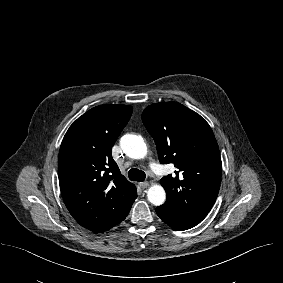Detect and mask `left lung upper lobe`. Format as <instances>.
<instances>
[{
    "mask_svg": "<svg viewBox=\"0 0 283 283\" xmlns=\"http://www.w3.org/2000/svg\"><path fill=\"white\" fill-rule=\"evenodd\" d=\"M142 121L155 141L160 162L173 163L178 169L174 176L161 179L167 199L159 207L202 221L216 201L222 171L211 127L199 114L177 102L148 106Z\"/></svg>",
    "mask_w": 283,
    "mask_h": 283,
    "instance_id": "obj_1",
    "label": "left lung upper lobe"
}]
</instances>
